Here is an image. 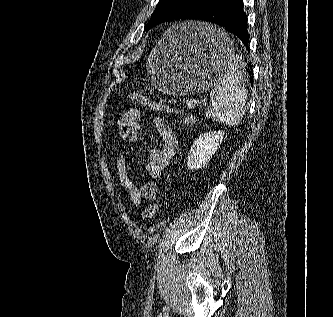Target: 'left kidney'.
Segmentation results:
<instances>
[{"mask_svg":"<svg viewBox=\"0 0 333 317\" xmlns=\"http://www.w3.org/2000/svg\"><path fill=\"white\" fill-rule=\"evenodd\" d=\"M223 131H211L201 134L188 153L187 167L190 170L204 167L222 143Z\"/></svg>","mask_w":333,"mask_h":317,"instance_id":"5707ae66","label":"left kidney"}]
</instances>
